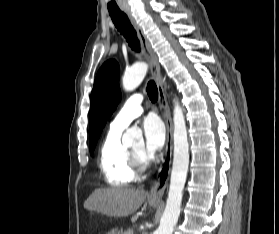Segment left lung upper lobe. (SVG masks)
<instances>
[{"label":"left lung upper lobe","mask_w":279,"mask_h":234,"mask_svg":"<svg viewBox=\"0 0 279 234\" xmlns=\"http://www.w3.org/2000/svg\"><path fill=\"white\" fill-rule=\"evenodd\" d=\"M119 65L108 60L99 69L91 93L89 143L93 154L106 121L116 109L121 94L119 90Z\"/></svg>","instance_id":"5c2ea615"}]
</instances>
